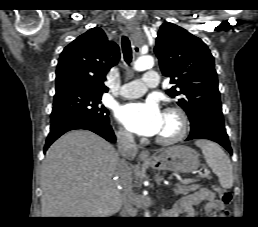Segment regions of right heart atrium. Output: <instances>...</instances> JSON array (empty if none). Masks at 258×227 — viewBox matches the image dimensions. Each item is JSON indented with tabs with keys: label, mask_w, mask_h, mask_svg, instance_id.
Segmentation results:
<instances>
[{
	"label": "right heart atrium",
	"mask_w": 258,
	"mask_h": 227,
	"mask_svg": "<svg viewBox=\"0 0 258 227\" xmlns=\"http://www.w3.org/2000/svg\"><path fill=\"white\" fill-rule=\"evenodd\" d=\"M117 136L121 142L130 143L133 140L132 134L123 128L118 131Z\"/></svg>",
	"instance_id": "right-heart-atrium-1"
}]
</instances>
